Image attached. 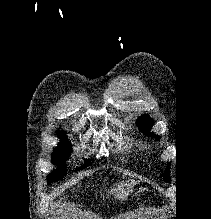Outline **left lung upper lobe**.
<instances>
[{
    "mask_svg": "<svg viewBox=\"0 0 211 219\" xmlns=\"http://www.w3.org/2000/svg\"><path fill=\"white\" fill-rule=\"evenodd\" d=\"M137 126L144 134H147L148 136H151V137L156 136V139L160 140V137L158 135H155L152 132H150V128L153 126V120L149 118L148 115H142L141 117H139L137 120ZM169 177H170V172H169V167H168L164 173V180L168 182Z\"/></svg>",
    "mask_w": 211,
    "mask_h": 219,
    "instance_id": "obj_1",
    "label": "left lung upper lobe"
}]
</instances>
